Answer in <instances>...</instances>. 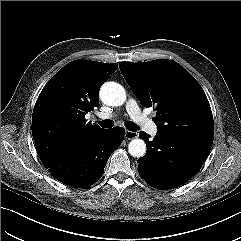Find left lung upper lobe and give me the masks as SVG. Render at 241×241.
Here are the masks:
<instances>
[{"mask_svg":"<svg viewBox=\"0 0 241 241\" xmlns=\"http://www.w3.org/2000/svg\"><path fill=\"white\" fill-rule=\"evenodd\" d=\"M121 73L145 107L156 106L153 119L166 137L212 146L214 123L200 84L178 63L155 60L120 62Z\"/></svg>","mask_w":241,"mask_h":241,"instance_id":"obj_1","label":"left lung upper lobe"}]
</instances>
